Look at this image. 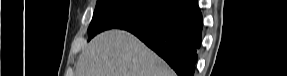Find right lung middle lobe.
<instances>
[{
	"instance_id": "1",
	"label": "right lung middle lobe",
	"mask_w": 287,
	"mask_h": 76,
	"mask_svg": "<svg viewBox=\"0 0 287 76\" xmlns=\"http://www.w3.org/2000/svg\"><path fill=\"white\" fill-rule=\"evenodd\" d=\"M173 0H98L88 28L89 40L100 32L139 28L162 14Z\"/></svg>"
}]
</instances>
